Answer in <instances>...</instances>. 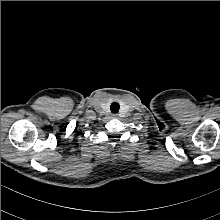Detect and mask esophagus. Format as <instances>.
<instances>
[{
    "label": "esophagus",
    "mask_w": 220,
    "mask_h": 220,
    "mask_svg": "<svg viewBox=\"0 0 220 220\" xmlns=\"http://www.w3.org/2000/svg\"><path fill=\"white\" fill-rule=\"evenodd\" d=\"M112 118H114V119L118 118V114H113Z\"/></svg>",
    "instance_id": "1"
}]
</instances>
